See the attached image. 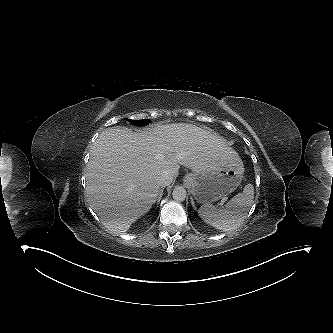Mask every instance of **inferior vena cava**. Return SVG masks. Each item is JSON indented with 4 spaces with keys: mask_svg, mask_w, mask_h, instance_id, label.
<instances>
[{
    "mask_svg": "<svg viewBox=\"0 0 333 333\" xmlns=\"http://www.w3.org/2000/svg\"><path fill=\"white\" fill-rule=\"evenodd\" d=\"M172 181L173 177L167 171H164L157 179V183L161 187L170 185Z\"/></svg>",
    "mask_w": 333,
    "mask_h": 333,
    "instance_id": "inferior-vena-cava-1",
    "label": "inferior vena cava"
}]
</instances>
